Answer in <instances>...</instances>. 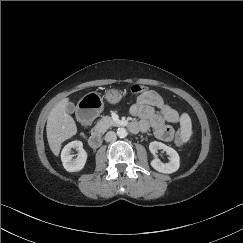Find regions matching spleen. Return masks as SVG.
I'll list each match as a JSON object with an SVG mask.
<instances>
[{
    "label": "spleen",
    "mask_w": 243,
    "mask_h": 243,
    "mask_svg": "<svg viewBox=\"0 0 243 243\" xmlns=\"http://www.w3.org/2000/svg\"><path fill=\"white\" fill-rule=\"evenodd\" d=\"M181 138L183 142H187L191 136V119L188 114L181 117Z\"/></svg>",
    "instance_id": "3e777b00"
}]
</instances>
